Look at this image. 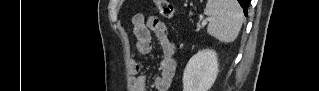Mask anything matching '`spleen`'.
<instances>
[{"label": "spleen", "mask_w": 319, "mask_h": 91, "mask_svg": "<svg viewBox=\"0 0 319 91\" xmlns=\"http://www.w3.org/2000/svg\"><path fill=\"white\" fill-rule=\"evenodd\" d=\"M204 14L209 19L208 34L225 43L237 38L243 24V10L237 0H208Z\"/></svg>", "instance_id": "3e777b00"}]
</instances>
